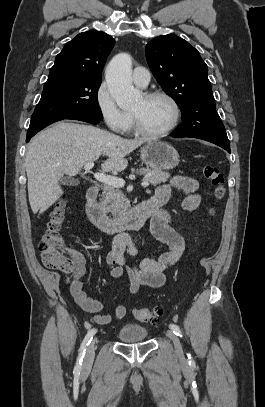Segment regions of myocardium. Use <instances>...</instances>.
Instances as JSON below:
<instances>
[{"mask_svg": "<svg viewBox=\"0 0 265 407\" xmlns=\"http://www.w3.org/2000/svg\"><path fill=\"white\" fill-rule=\"evenodd\" d=\"M146 100L161 98L169 102L173 109V119L168 127L161 131L151 132L143 129L139 124L137 117L131 113V124L134 132L144 138H161L171 134L178 126L181 119V108L177 100L167 92L164 91H151L143 95Z\"/></svg>", "mask_w": 265, "mask_h": 407, "instance_id": "f54148a6", "label": "myocardium"}]
</instances>
